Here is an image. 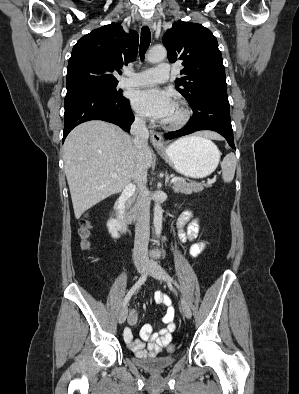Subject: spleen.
I'll return each mask as SVG.
<instances>
[{
	"label": "spleen",
	"instance_id": "spleen-1",
	"mask_svg": "<svg viewBox=\"0 0 299 394\" xmlns=\"http://www.w3.org/2000/svg\"><path fill=\"white\" fill-rule=\"evenodd\" d=\"M236 164L237 161L234 153H229L224 157L223 161L221 162L222 179L224 182L229 183L233 180L235 175Z\"/></svg>",
	"mask_w": 299,
	"mask_h": 394
}]
</instances>
